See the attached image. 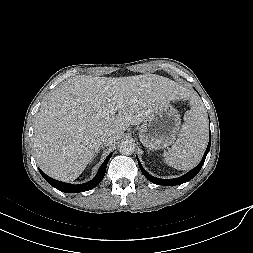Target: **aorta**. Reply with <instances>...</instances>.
Listing matches in <instances>:
<instances>
[{
	"label": "aorta",
	"mask_w": 253,
	"mask_h": 253,
	"mask_svg": "<svg viewBox=\"0 0 253 253\" xmlns=\"http://www.w3.org/2000/svg\"><path fill=\"white\" fill-rule=\"evenodd\" d=\"M119 152L123 155H131L135 151V144L131 140H123L118 145Z\"/></svg>",
	"instance_id": "1"
}]
</instances>
